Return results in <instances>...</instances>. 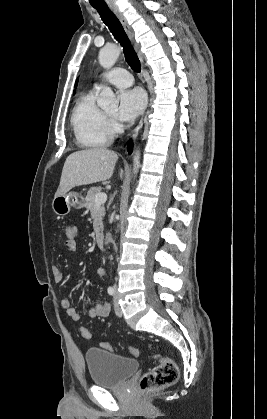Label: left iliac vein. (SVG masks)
<instances>
[{"label":"left iliac vein","mask_w":267,"mask_h":419,"mask_svg":"<svg viewBox=\"0 0 267 419\" xmlns=\"http://www.w3.org/2000/svg\"><path fill=\"white\" fill-rule=\"evenodd\" d=\"M114 304H115V313H116V315L119 316V317H121L122 316V310H121V307H120V305L118 303L117 294H115V296H114Z\"/></svg>","instance_id":"obj_1"}]
</instances>
